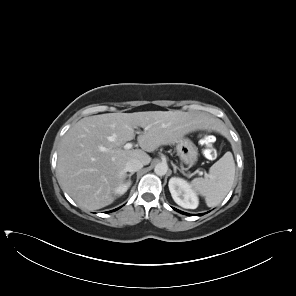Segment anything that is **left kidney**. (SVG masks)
Segmentation results:
<instances>
[{
	"mask_svg": "<svg viewBox=\"0 0 296 296\" xmlns=\"http://www.w3.org/2000/svg\"><path fill=\"white\" fill-rule=\"evenodd\" d=\"M168 186L173 200L179 206L185 209H196L198 207V196L185 179L172 177Z\"/></svg>",
	"mask_w": 296,
	"mask_h": 296,
	"instance_id": "left-kidney-1",
	"label": "left kidney"
}]
</instances>
